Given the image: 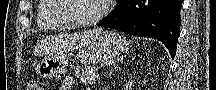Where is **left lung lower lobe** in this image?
I'll return each instance as SVG.
<instances>
[{"label": "left lung lower lobe", "mask_w": 216, "mask_h": 90, "mask_svg": "<svg viewBox=\"0 0 216 90\" xmlns=\"http://www.w3.org/2000/svg\"><path fill=\"white\" fill-rule=\"evenodd\" d=\"M98 26L161 41L172 57L180 34L182 0H118Z\"/></svg>", "instance_id": "0a47b994"}]
</instances>
